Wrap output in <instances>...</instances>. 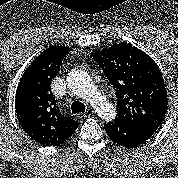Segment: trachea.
I'll use <instances>...</instances> for the list:
<instances>
[{"label":"trachea","mask_w":178,"mask_h":178,"mask_svg":"<svg viewBox=\"0 0 178 178\" xmlns=\"http://www.w3.org/2000/svg\"><path fill=\"white\" fill-rule=\"evenodd\" d=\"M71 110L73 114L76 113H84L86 110V107L83 103L78 102V101H74L71 105Z\"/></svg>","instance_id":"3493384b"}]
</instances>
